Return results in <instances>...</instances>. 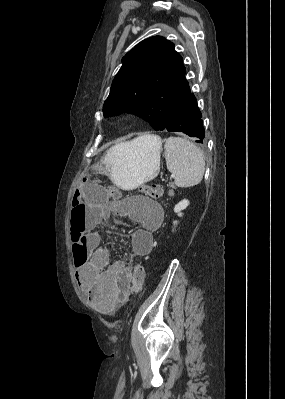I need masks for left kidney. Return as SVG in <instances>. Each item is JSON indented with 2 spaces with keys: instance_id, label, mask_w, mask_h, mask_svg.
Masks as SVG:
<instances>
[{
  "instance_id": "left-kidney-1",
  "label": "left kidney",
  "mask_w": 285,
  "mask_h": 399,
  "mask_svg": "<svg viewBox=\"0 0 285 399\" xmlns=\"http://www.w3.org/2000/svg\"><path fill=\"white\" fill-rule=\"evenodd\" d=\"M189 205V201L186 199H183L180 201L177 205L174 207V212L177 213L178 216H182L181 211L186 209V207ZM173 224H177V221H174Z\"/></svg>"
}]
</instances>
